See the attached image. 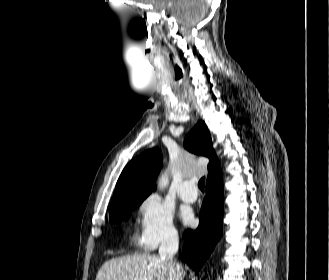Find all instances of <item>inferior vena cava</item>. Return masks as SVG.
<instances>
[{"instance_id": "obj_1", "label": "inferior vena cava", "mask_w": 329, "mask_h": 280, "mask_svg": "<svg viewBox=\"0 0 329 280\" xmlns=\"http://www.w3.org/2000/svg\"><path fill=\"white\" fill-rule=\"evenodd\" d=\"M179 238L175 230L168 231L164 236L159 247V256L171 270L176 271L177 280L181 277L182 267L174 260V255L178 251ZM181 279V278H180Z\"/></svg>"}]
</instances>
